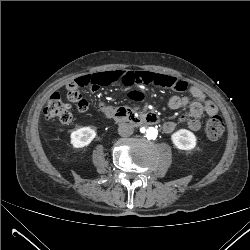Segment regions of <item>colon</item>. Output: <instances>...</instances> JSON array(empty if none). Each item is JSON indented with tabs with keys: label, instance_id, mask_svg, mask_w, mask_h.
<instances>
[{
	"label": "colon",
	"instance_id": "1",
	"mask_svg": "<svg viewBox=\"0 0 250 250\" xmlns=\"http://www.w3.org/2000/svg\"><path fill=\"white\" fill-rule=\"evenodd\" d=\"M145 78L148 83H152L155 87L160 85L163 77L155 74H149L143 70H135L132 68L118 67L113 69H101L94 71L92 74L67 81L61 90L70 97L76 98L79 90L87 85H104L110 83L133 84L137 79ZM86 112L85 107L82 108ZM205 111L209 121L207 124V136L211 140L219 139L223 134V124L218 115V106L213 99H208L205 103ZM44 114L49 118H59L67 121L71 118L70 107L63 102L61 94L56 92L52 95L47 103Z\"/></svg>",
	"mask_w": 250,
	"mask_h": 250
}]
</instances>
